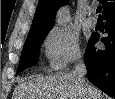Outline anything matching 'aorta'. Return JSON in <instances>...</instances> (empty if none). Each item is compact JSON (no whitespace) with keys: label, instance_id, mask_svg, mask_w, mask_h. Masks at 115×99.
I'll list each match as a JSON object with an SVG mask.
<instances>
[{"label":"aorta","instance_id":"1","mask_svg":"<svg viewBox=\"0 0 115 99\" xmlns=\"http://www.w3.org/2000/svg\"><path fill=\"white\" fill-rule=\"evenodd\" d=\"M69 20V13L67 11H61L58 17V25L62 26Z\"/></svg>","mask_w":115,"mask_h":99}]
</instances>
